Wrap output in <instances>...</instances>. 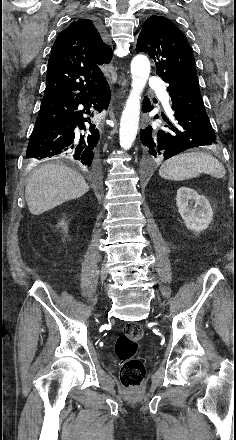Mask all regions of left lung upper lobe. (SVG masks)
<instances>
[{"label": "left lung upper lobe", "instance_id": "left-lung-upper-lobe-1", "mask_svg": "<svg viewBox=\"0 0 236 440\" xmlns=\"http://www.w3.org/2000/svg\"><path fill=\"white\" fill-rule=\"evenodd\" d=\"M136 52H144L155 61L157 74L169 84L168 89L182 81H198L186 36L163 16H151L144 22Z\"/></svg>", "mask_w": 236, "mask_h": 440}]
</instances>
